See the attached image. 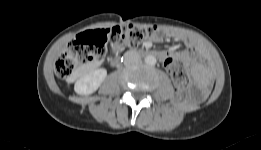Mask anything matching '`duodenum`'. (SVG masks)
Here are the masks:
<instances>
[{
  "label": "duodenum",
  "instance_id": "1",
  "mask_svg": "<svg viewBox=\"0 0 261 150\" xmlns=\"http://www.w3.org/2000/svg\"><path fill=\"white\" fill-rule=\"evenodd\" d=\"M139 54H141V55H152V56L158 57V53H156V52H149L147 50H141V51H139ZM119 62H120V58L117 57V56L113 57V59L111 60V64L113 66L118 65Z\"/></svg>",
  "mask_w": 261,
  "mask_h": 150
}]
</instances>
